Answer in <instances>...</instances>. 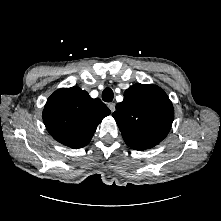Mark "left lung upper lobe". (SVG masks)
I'll use <instances>...</instances> for the list:
<instances>
[{"label": "left lung upper lobe", "mask_w": 221, "mask_h": 221, "mask_svg": "<svg viewBox=\"0 0 221 221\" xmlns=\"http://www.w3.org/2000/svg\"><path fill=\"white\" fill-rule=\"evenodd\" d=\"M125 143L145 150L160 143L170 131L174 110L167 94L156 85L134 84L112 114Z\"/></svg>", "instance_id": "5c2ea615"}]
</instances>
